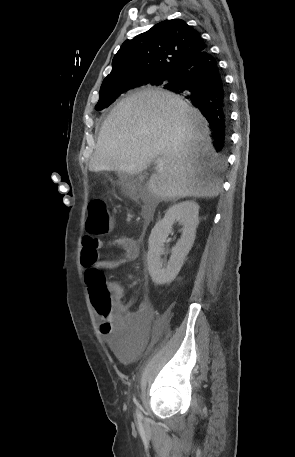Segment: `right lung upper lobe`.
<instances>
[{"label": "right lung upper lobe", "instance_id": "1", "mask_svg": "<svg viewBox=\"0 0 295 457\" xmlns=\"http://www.w3.org/2000/svg\"><path fill=\"white\" fill-rule=\"evenodd\" d=\"M205 48L200 34L185 21L160 22L122 44L100 91L130 90L153 78L174 76L186 61Z\"/></svg>", "mask_w": 295, "mask_h": 457}]
</instances>
